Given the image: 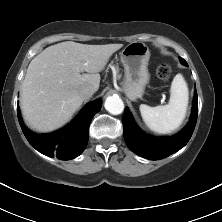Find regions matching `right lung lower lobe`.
Here are the masks:
<instances>
[{
  "mask_svg": "<svg viewBox=\"0 0 222 222\" xmlns=\"http://www.w3.org/2000/svg\"><path fill=\"white\" fill-rule=\"evenodd\" d=\"M100 107L101 100H95L87 104L70 125L59 131L41 135L25 127L19 108H17V114L25 137L37 151L49 157L56 156L61 160H70L80 155L85 149L90 122Z\"/></svg>",
  "mask_w": 222,
  "mask_h": 222,
  "instance_id": "right-lung-lower-lobe-1",
  "label": "right lung lower lobe"
}]
</instances>
